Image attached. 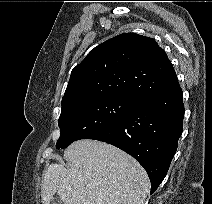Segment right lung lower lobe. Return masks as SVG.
<instances>
[{
    "label": "right lung lower lobe",
    "mask_w": 212,
    "mask_h": 204,
    "mask_svg": "<svg viewBox=\"0 0 212 204\" xmlns=\"http://www.w3.org/2000/svg\"><path fill=\"white\" fill-rule=\"evenodd\" d=\"M183 117V94L177 83L140 99L121 121L90 139L112 144L133 156L147 171L152 194L177 150Z\"/></svg>",
    "instance_id": "1"
}]
</instances>
